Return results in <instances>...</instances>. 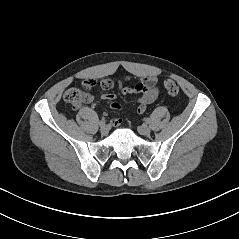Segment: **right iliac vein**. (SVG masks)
I'll use <instances>...</instances> for the list:
<instances>
[{
    "mask_svg": "<svg viewBox=\"0 0 239 239\" xmlns=\"http://www.w3.org/2000/svg\"><path fill=\"white\" fill-rule=\"evenodd\" d=\"M100 131H101V133L102 134H107L108 133V131H109V128H108V126L107 125H102L101 127H100Z\"/></svg>",
    "mask_w": 239,
    "mask_h": 239,
    "instance_id": "63e3f726",
    "label": "right iliac vein"
}]
</instances>
